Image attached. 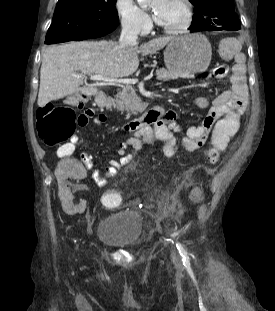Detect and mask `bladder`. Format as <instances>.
Masks as SVG:
<instances>
[{"instance_id":"obj_1","label":"bladder","mask_w":275,"mask_h":311,"mask_svg":"<svg viewBox=\"0 0 275 311\" xmlns=\"http://www.w3.org/2000/svg\"><path fill=\"white\" fill-rule=\"evenodd\" d=\"M96 237L113 247H136L143 237L140 213L133 210H122L105 216L98 223Z\"/></svg>"}]
</instances>
